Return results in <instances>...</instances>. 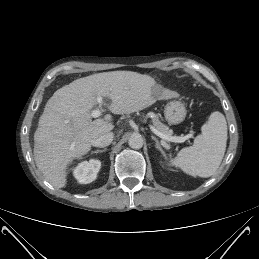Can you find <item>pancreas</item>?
I'll use <instances>...</instances> for the list:
<instances>
[{"instance_id":"obj_1","label":"pancreas","mask_w":259,"mask_h":259,"mask_svg":"<svg viewBox=\"0 0 259 259\" xmlns=\"http://www.w3.org/2000/svg\"><path fill=\"white\" fill-rule=\"evenodd\" d=\"M153 125L161 133L168 135V136H172L173 131L170 130L166 125L161 123L157 117L153 120Z\"/></svg>"}]
</instances>
